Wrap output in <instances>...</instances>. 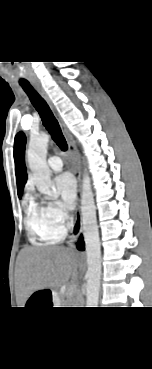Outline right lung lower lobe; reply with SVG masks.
Masks as SVG:
<instances>
[{
  "instance_id": "right-lung-lower-lobe-1",
  "label": "right lung lower lobe",
  "mask_w": 152,
  "mask_h": 369,
  "mask_svg": "<svg viewBox=\"0 0 152 369\" xmlns=\"http://www.w3.org/2000/svg\"><path fill=\"white\" fill-rule=\"evenodd\" d=\"M77 245V248L79 250H84V242H83V239H82V236L79 238L78 242L76 243Z\"/></svg>"
}]
</instances>
